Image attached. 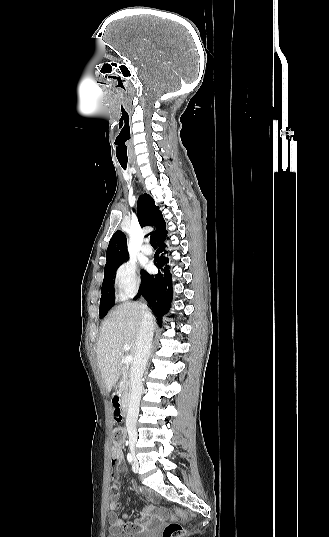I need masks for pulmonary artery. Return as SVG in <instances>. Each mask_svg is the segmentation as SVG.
Masks as SVG:
<instances>
[{"mask_svg":"<svg viewBox=\"0 0 329 537\" xmlns=\"http://www.w3.org/2000/svg\"><path fill=\"white\" fill-rule=\"evenodd\" d=\"M141 251L146 254V255H150L152 253V248L150 245L148 244H144L142 247H141Z\"/></svg>","mask_w":329,"mask_h":537,"instance_id":"1","label":"pulmonary artery"}]
</instances>
